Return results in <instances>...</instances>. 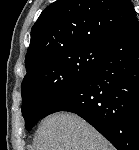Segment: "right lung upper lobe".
<instances>
[{
  "label": "right lung upper lobe",
  "mask_w": 139,
  "mask_h": 150,
  "mask_svg": "<svg viewBox=\"0 0 139 150\" xmlns=\"http://www.w3.org/2000/svg\"><path fill=\"white\" fill-rule=\"evenodd\" d=\"M135 17L130 0H57L31 29L27 74L57 54L107 46Z\"/></svg>",
  "instance_id": "cb5924a9"
}]
</instances>
